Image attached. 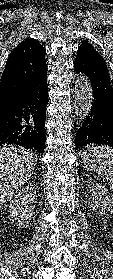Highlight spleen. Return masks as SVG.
I'll list each match as a JSON object with an SVG mask.
<instances>
[{
	"label": "spleen",
	"instance_id": "spleen-1",
	"mask_svg": "<svg viewBox=\"0 0 113 279\" xmlns=\"http://www.w3.org/2000/svg\"><path fill=\"white\" fill-rule=\"evenodd\" d=\"M84 167L104 176L113 191V148L89 146L82 154Z\"/></svg>",
	"mask_w": 113,
	"mask_h": 279
}]
</instances>
